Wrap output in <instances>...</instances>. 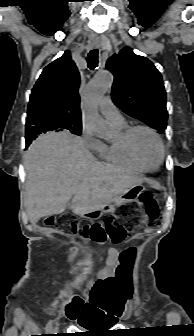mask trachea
Listing matches in <instances>:
<instances>
[{"instance_id":"3493384b","label":"trachea","mask_w":194,"mask_h":336,"mask_svg":"<svg viewBox=\"0 0 194 336\" xmlns=\"http://www.w3.org/2000/svg\"><path fill=\"white\" fill-rule=\"evenodd\" d=\"M88 67L93 70L98 64V49H93L90 51L87 57Z\"/></svg>"}]
</instances>
